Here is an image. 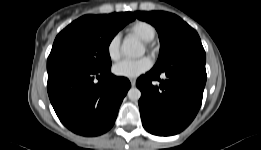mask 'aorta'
<instances>
[{
    "mask_svg": "<svg viewBox=\"0 0 261 150\" xmlns=\"http://www.w3.org/2000/svg\"><path fill=\"white\" fill-rule=\"evenodd\" d=\"M122 54L129 58H138L143 56L145 53L144 46L134 39H125L121 46ZM127 96L132 101H138L141 97V91L136 88L132 87L127 93Z\"/></svg>",
    "mask_w": 261,
    "mask_h": 150,
    "instance_id": "762f6f07",
    "label": "aorta"
}]
</instances>
